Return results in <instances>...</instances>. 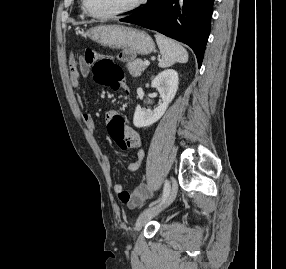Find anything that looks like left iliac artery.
Returning <instances> with one entry per match:
<instances>
[{
	"mask_svg": "<svg viewBox=\"0 0 286 269\" xmlns=\"http://www.w3.org/2000/svg\"><path fill=\"white\" fill-rule=\"evenodd\" d=\"M170 193V183L168 180L165 181L164 189H163V194L160 199L159 205L163 204L165 200L167 199L168 195ZM157 202H153L149 205V208H154V205H156Z\"/></svg>",
	"mask_w": 286,
	"mask_h": 269,
	"instance_id": "left-iliac-artery-1",
	"label": "left iliac artery"
}]
</instances>
